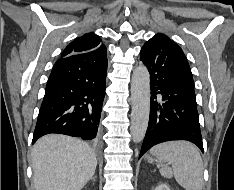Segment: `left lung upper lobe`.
<instances>
[{
    "mask_svg": "<svg viewBox=\"0 0 234 190\" xmlns=\"http://www.w3.org/2000/svg\"><path fill=\"white\" fill-rule=\"evenodd\" d=\"M161 39H169L164 34H157L152 37L149 41H147L144 45H154L158 40ZM176 46L177 54H178V62L176 65V78L179 83L191 94L195 95L194 92V84L193 77L191 73L190 66L187 62V59L182 51V49L174 43Z\"/></svg>",
    "mask_w": 234,
    "mask_h": 190,
    "instance_id": "obj_1",
    "label": "left lung upper lobe"
}]
</instances>
